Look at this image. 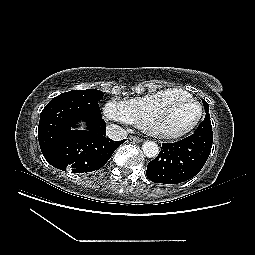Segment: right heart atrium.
<instances>
[{
    "label": "right heart atrium",
    "mask_w": 255,
    "mask_h": 255,
    "mask_svg": "<svg viewBox=\"0 0 255 255\" xmlns=\"http://www.w3.org/2000/svg\"><path fill=\"white\" fill-rule=\"evenodd\" d=\"M105 117L111 121L122 124H133L130 113L124 103L119 100H109L103 108Z\"/></svg>",
    "instance_id": "right-heart-atrium-1"
}]
</instances>
